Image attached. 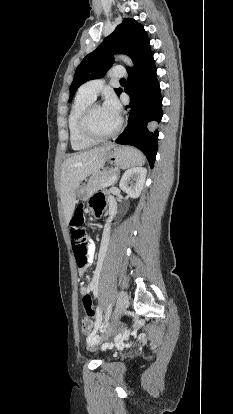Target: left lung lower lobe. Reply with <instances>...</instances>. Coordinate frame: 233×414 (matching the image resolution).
Returning <instances> with one entry per match:
<instances>
[{
	"label": "left lung lower lobe",
	"mask_w": 233,
	"mask_h": 414,
	"mask_svg": "<svg viewBox=\"0 0 233 414\" xmlns=\"http://www.w3.org/2000/svg\"><path fill=\"white\" fill-rule=\"evenodd\" d=\"M124 90L130 96V103L127 107L131 108V113L127 127L115 142L138 148L153 167L159 134L155 130V125L162 118V96L153 54L128 72ZM121 92L122 90L118 95Z\"/></svg>",
	"instance_id": "obj_1"
}]
</instances>
